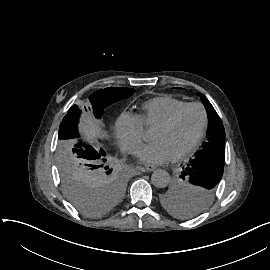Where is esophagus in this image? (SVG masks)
Returning a JSON list of instances; mask_svg holds the SVG:
<instances>
[{
	"label": "esophagus",
	"instance_id": "34e87169",
	"mask_svg": "<svg viewBox=\"0 0 270 270\" xmlns=\"http://www.w3.org/2000/svg\"><path fill=\"white\" fill-rule=\"evenodd\" d=\"M153 170H154L153 165H146V166L140 167L141 172H151Z\"/></svg>",
	"mask_w": 270,
	"mask_h": 270
}]
</instances>
